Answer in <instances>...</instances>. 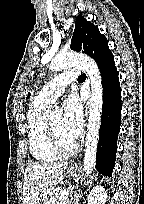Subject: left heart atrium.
<instances>
[{"mask_svg": "<svg viewBox=\"0 0 144 204\" xmlns=\"http://www.w3.org/2000/svg\"><path fill=\"white\" fill-rule=\"evenodd\" d=\"M63 125L67 136L72 140L79 138L83 127V111L80 102L70 97L63 104Z\"/></svg>", "mask_w": 144, "mask_h": 204, "instance_id": "left-heart-atrium-1", "label": "left heart atrium"}]
</instances>
